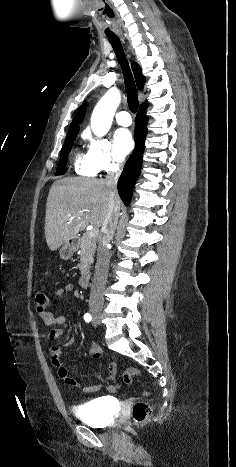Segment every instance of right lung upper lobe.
<instances>
[{
  "label": "right lung upper lobe",
  "mask_w": 236,
  "mask_h": 467,
  "mask_svg": "<svg viewBox=\"0 0 236 467\" xmlns=\"http://www.w3.org/2000/svg\"><path fill=\"white\" fill-rule=\"evenodd\" d=\"M132 70H133V73H134V76H135L137 87H138L139 90H142L143 87H144V83H145V77L142 75L141 68L137 63L133 62L132 63ZM145 104H148V103L144 102L141 106H143ZM85 111H86V105H83L82 107H80V109L77 111V113H76V115H75V117H74V119L72 121V124L70 126V129H69L67 135L78 133L79 124L83 120Z\"/></svg>",
  "instance_id": "cb5924a9"
}]
</instances>
